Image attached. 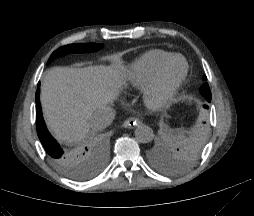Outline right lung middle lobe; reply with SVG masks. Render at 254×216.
Wrapping results in <instances>:
<instances>
[{
  "mask_svg": "<svg viewBox=\"0 0 254 216\" xmlns=\"http://www.w3.org/2000/svg\"><path fill=\"white\" fill-rule=\"evenodd\" d=\"M103 44H70L63 46L50 56L48 64L57 57L64 56L70 53H83L94 52L103 48ZM88 150L90 154V160L86 161L81 156ZM72 154L67 156L64 160L54 165L65 175L73 179L82 180L87 179L97 173L102 164L100 162L99 154L94 150L80 148L74 151H70Z\"/></svg>",
  "mask_w": 254,
  "mask_h": 216,
  "instance_id": "right-lung-middle-lobe-1",
  "label": "right lung middle lobe"
}]
</instances>
